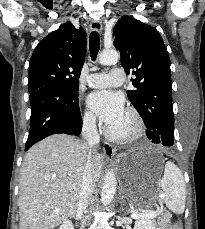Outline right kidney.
<instances>
[{
    "label": "right kidney",
    "mask_w": 205,
    "mask_h": 229,
    "mask_svg": "<svg viewBox=\"0 0 205 229\" xmlns=\"http://www.w3.org/2000/svg\"><path fill=\"white\" fill-rule=\"evenodd\" d=\"M59 229H74V227L71 221H64Z\"/></svg>",
    "instance_id": "1"
}]
</instances>
